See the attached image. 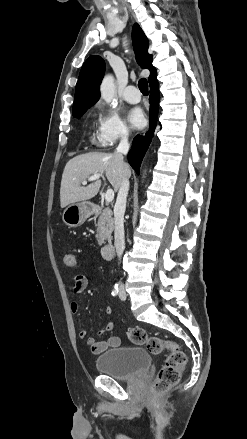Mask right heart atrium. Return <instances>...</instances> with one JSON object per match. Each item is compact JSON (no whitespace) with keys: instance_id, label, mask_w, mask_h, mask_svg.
Instances as JSON below:
<instances>
[{"instance_id":"obj_1","label":"right heart atrium","mask_w":247,"mask_h":439,"mask_svg":"<svg viewBox=\"0 0 247 439\" xmlns=\"http://www.w3.org/2000/svg\"><path fill=\"white\" fill-rule=\"evenodd\" d=\"M129 135L128 126L116 111L102 110L97 130V141L101 146H113L119 140L128 138Z\"/></svg>"}]
</instances>
